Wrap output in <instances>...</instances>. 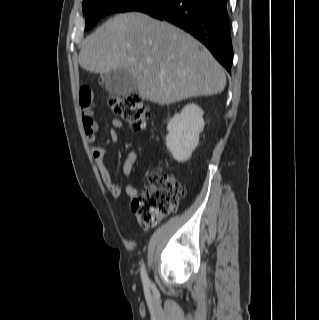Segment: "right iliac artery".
I'll return each mask as SVG.
<instances>
[{
    "label": "right iliac artery",
    "instance_id": "right-iliac-artery-1",
    "mask_svg": "<svg viewBox=\"0 0 319 320\" xmlns=\"http://www.w3.org/2000/svg\"><path fill=\"white\" fill-rule=\"evenodd\" d=\"M141 278H142V281H143V285L147 288L149 287L150 285V281H149V278L147 276V273H146V270H145V266L143 265L142 266V269H141Z\"/></svg>",
    "mask_w": 319,
    "mask_h": 320
}]
</instances>
